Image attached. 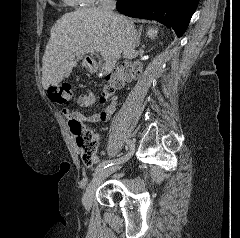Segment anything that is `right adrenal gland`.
<instances>
[{
    "label": "right adrenal gland",
    "instance_id": "2a0ac1e0",
    "mask_svg": "<svg viewBox=\"0 0 240 238\" xmlns=\"http://www.w3.org/2000/svg\"><path fill=\"white\" fill-rule=\"evenodd\" d=\"M142 35V27L139 28L138 31H136V46L138 47L140 45V37Z\"/></svg>",
    "mask_w": 240,
    "mask_h": 238
}]
</instances>
